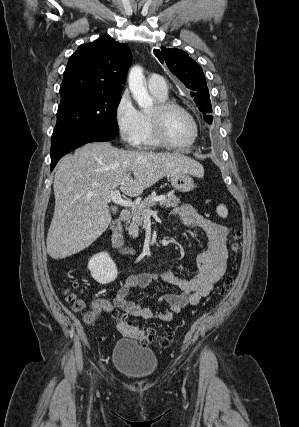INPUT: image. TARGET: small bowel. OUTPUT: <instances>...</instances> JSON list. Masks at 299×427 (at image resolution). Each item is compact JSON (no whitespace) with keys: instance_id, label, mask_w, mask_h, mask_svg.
Here are the masks:
<instances>
[{"instance_id":"small-bowel-1","label":"small bowel","mask_w":299,"mask_h":427,"mask_svg":"<svg viewBox=\"0 0 299 427\" xmlns=\"http://www.w3.org/2000/svg\"><path fill=\"white\" fill-rule=\"evenodd\" d=\"M172 216L189 229H199L208 239V248L196 258V275L183 278L168 270L129 275L117 290L113 302L106 299L96 301L99 310L112 313L114 308H120L134 318L166 322L172 320L184 307L199 304L211 293L227 268L229 229L205 218L189 204L175 207ZM159 279L180 290L179 293H164L159 297L158 303L164 305L163 309L143 307L127 299L132 289L146 288Z\"/></svg>"}]
</instances>
